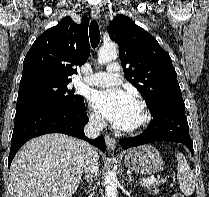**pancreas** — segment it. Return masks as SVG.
<instances>
[{
    "mask_svg": "<svg viewBox=\"0 0 209 197\" xmlns=\"http://www.w3.org/2000/svg\"><path fill=\"white\" fill-rule=\"evenodd\" d=\"M159 183H160L159 181H156V182H154L152 184L143 183L142 186L147 188V190H149V191H153V192L157 193L158 192Z\"/></svg>",
    "mask_w": 209,
    "mask_h": 197,
    "instance_id": "1",
    "label": "pancreas"
}]
</instances>
